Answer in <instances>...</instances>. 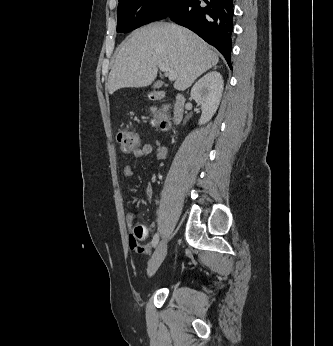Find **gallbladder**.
Returning a JSON list of instances; mask_svg holds the SVG:
<instances>
[{"instance_id":"obj_1","label":"gallbladder","mask_w":333,"mask_h":346,"mask_svg":"<svg viewBox=\"0 0 333 346\" xmlns=\"http://www.w3.org/2000/svg\"><path fill=\"white\" fill-rule=\"evenodd\" d=\"M162 86V83L160 81L156 82L154 85H153V88L154 89H158Z\"/></svg>"}]
</instances>
